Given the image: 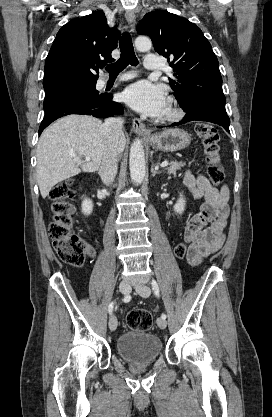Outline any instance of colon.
Here are the masks:
<instances>
[{"instance_id":"1","label":"colon","mask_w":272,"mask_h":417,"mask_svg":"<svg viewBox=\"0 0 272 417\" xmlns=\"http://www.w3.org/2000/svg\"><path fill=\"white\" fill-rule=\"evenodd\" d=\"M196 133L203 139L204 152L208 163V177L214 185L224 180V171L219 156V134L217 129L207 123L196 126ZM52 219L49 223V236L53 241L59 258L71 265L83 263L88 251L87 242L72 232L74 225V206L70 202L74 196L71 181L55 185L50 191ZM188 245L178 243L174 255L178 259L186 256ZM126 322L129 328L137 331H147L153 325L152 314L148 310L136 309L128 313Z\"/></svg>"}]
</instances>
